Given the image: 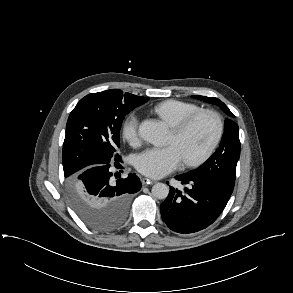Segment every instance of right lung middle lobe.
Instances as JSON below:
<instances>
[{
    "label": "right lung middle lobe",
    "instance_id": "1",
    "mask_svg": "<svg viewBox=\"0 0 293 293\" xmlns=\"http://www.w3.org/2000/svg\"><path fill=\"white\" fill-rule=\"evenodd\" d=\"M146 101L139 96L111 89L82 98L66 125L62 161L70 202L80 218L90 227L110 231L124 218L114 213H95L87 206L79 180L89 166L119 161L120 129L130 111Z\"/></svg>",
    "mask_w": 293,
    "mask_h": 293
}]
</instances>
